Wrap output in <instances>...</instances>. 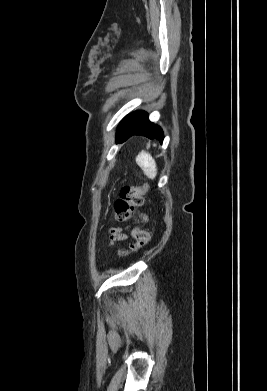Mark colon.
Segmentation results:
<instances>
[{"label": "colon", "instance_id": "colon-1", "mask_svg": "<svg viewBox=\"0 0 267 391\" xmlns=\"http://www.w3.org/2000/svg\"><path fill=\"white\" fill-rule=\"evenodd\" d=\"M148 192L147 185L141 186H125L120 190L119 197L114 203L115 219L119 222L129 220L137 208L143 205L144 197ZM141 225L135 226L131 231V236L134 242L121 252L122 255H128L148 244L150 234L143 228V224L147 221L145 214H140Z\"/></svg>", "mask_w": 267, "mask_h": 391}]
</instances>
